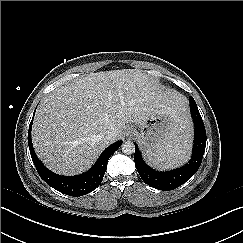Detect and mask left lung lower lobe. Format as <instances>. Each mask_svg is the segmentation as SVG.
I'll use <instances>...</instances> for the list:
<instances>
[{
    "label": "left lung lower lobe",
    "mask_w": 243,
    "mask_h": 243,
    "mask_svg": "<svg viewBox=\"0 0 243 243\" xmlns=\"http://www.w3.org/2000/svg\"><path fill=\"white\" fill-rule=\"evenodd\" d=\"M191 115L195 126L192 158L188 164L176 170L159 172L150 168L142 159L135 144L134 162L142 180L149 186L163 190H173L188 181L199 169L206 147V131L203 120L193 97H190Z\"/></svg>",
    "instance_id": "obj_1"
}]
</instances>
